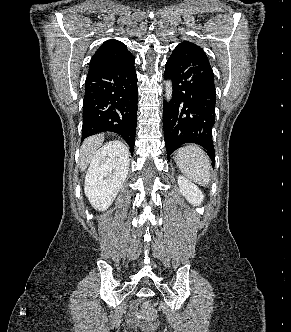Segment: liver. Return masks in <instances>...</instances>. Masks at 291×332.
Listing matches in <instances>:
<instances>
[{
  "mask_svg": "<svg viewBox=\"0 0 291 332\" xmlns=\"http://www.w3.org/2000/svg\"><path fill=\"white\" fill-rule=\"evenodd\" d=\"M104 141L103 135H94L88 137L84 140L81 150H80V158H79V167L81 171H84L92 160L93 156L96 154L97 150L101 147ZM126 155L129 158V150L125 147Z\"/></svg>",
  "mask_w": 291,
  "mask_h": 332,
  "instance_id": "obj_1",
  "label": "liver"
}]
</instances>
